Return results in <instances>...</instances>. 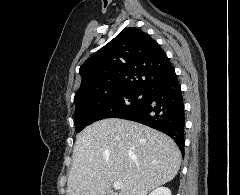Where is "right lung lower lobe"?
I'll list each match as a JSON object with an SVG mask.
<instances>
[{
  "mask_svg": "<svg viewBox=\"0 0 240 195\" xmlns=\"http://www.w3.org/2000/svg\"><path fill=\"white\" fill-rule=\"evenodd\" d=\"M116 118L136 121L167 134L184 154V103L175 72L153 84L138 106Z\"/></svg>",
  "mask_w": 240,
  "mask_h": 195,
  "instance_id": "98d812e1",
  "label": "right lung lower lobe"
}]
</instances>
